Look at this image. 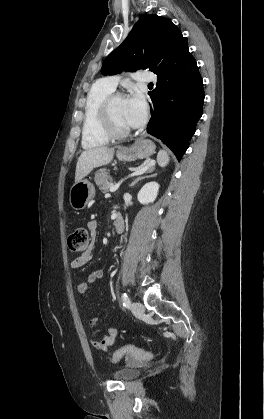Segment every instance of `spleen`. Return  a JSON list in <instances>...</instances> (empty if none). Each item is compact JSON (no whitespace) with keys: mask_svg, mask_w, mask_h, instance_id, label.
Segmentation results:
<instances>
[{"mask_svg":"<svg viewBox=\"0 0 264 419\" xmlns=\"http://www.w3.org/2000/svg\"><path fill=\"white\" fill-rule=\"evenodd\" d=\"M157 162L159 166L165 167L169 163L168 153L164 150H160L157 155Z\"/></svg>","mask_w":264,"mask_h":419,"instance_id":"1","label":"spleen"}]
</instances>
